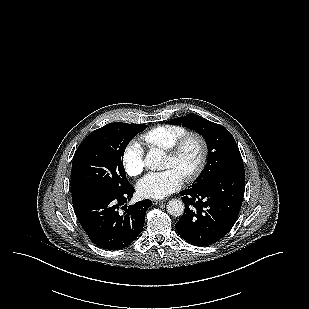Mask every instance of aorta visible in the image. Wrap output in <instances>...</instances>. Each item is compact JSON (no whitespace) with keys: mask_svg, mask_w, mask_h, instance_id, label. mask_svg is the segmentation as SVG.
I'll list each match as a JSON object with an SVG mask.
<instances>
[{"mask_svg":"<svg viewBox=\"0 0 309 309\" xmlns=\"http://www.w3.org/2000/svg\"><path fill=\"white\" fill-rule=\"evenodd\" d=\"M163 158L164 154L161 150H151L145 157V165L151 170H158L161 168ZM184 210V203L179 199H172L167 203V212L174 217L181 216Z\"/></svg>","mask_w":309,"mask_h":309,"instance_id":"762f6f07","label":"aorta"}]
</instances>
